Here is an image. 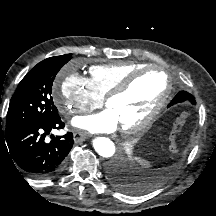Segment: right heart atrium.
<instances>
[{
    "mask_svg": "<svg viewBox=\"0 0 216 216\" xmlns=\"http://www.w3.org/2000/svg\"><path fill=\"white\" fill-rule=\"evenodd\" d=\"M53 101L60 114L65 117L73 113L88 112L103 103L102 97L91 87L89 79L76 73H70L61 79L53 92Z\"/></svg>",
    "mask_w": 216,
    "mask_h": 216,
    "instance_id": "right-heart-atrium-1",
    "label": "right heart atrium"
}]
</instances>
